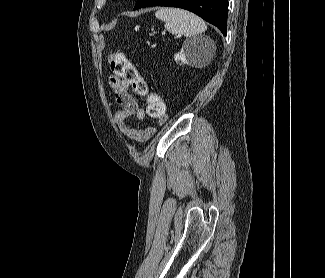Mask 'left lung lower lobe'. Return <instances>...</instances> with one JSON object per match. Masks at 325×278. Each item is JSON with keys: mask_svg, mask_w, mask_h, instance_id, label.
Here are the masks:
<instances>
[{"mask_svg": "<svg viewBox=\"0 0 325 278\" xmlns=\"http://www.w3.org/2000/svg\"><path fill=\"white\" fill-rule=\"evenodd\" d=\"M149 6L179 7L189 10L227 34L228 0H137L134 10Z\"/></svg>", "mask_w": 325, "mask_h": 278, "instance_id": "left-lung-lower-lobe-1", "label": "left lung lower lobe"}]
</instances>
